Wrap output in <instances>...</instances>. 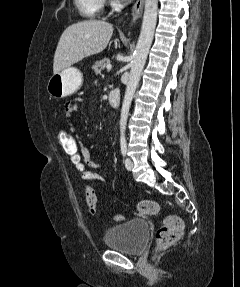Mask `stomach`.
Masks as SVG:
<instances>
[{
    "label": "stomach",
    "mask_w": 240,
    "mask_h": 287,
    "mask_svg": "<svg viewBox=\"0 0 240 287\" xmlns=\"http://www.w3.org/2000/svg\"><path fill=\"white\" fill-rule=\"evenodd\" d=\"M82 83L81 71L75 67H67L50 77L47 83V92L56 99L65 98L79 90Z\"/></svg>",
    "instance_id": "stomach-1"
}]
</instances>
